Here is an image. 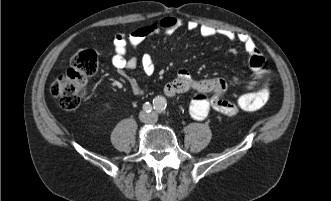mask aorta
Returning a JSON list of instances; mask_svg holds the SVG:
<instances>
[{"mask_svg": "<svg viewBox=\"0 0 331 201\" xmlns=\"http://www.w3.org/2000/svg\"><path fill=\"white\" fill-rule=\"evenodd\" d=\"M165 100L161 97H157L155 100H154V107L157 109V110H161V109H164L165 107Z\"/></svg>", "mask_w": 331, "mask_h": 201, "instance_id": "762f6f07", "label": "aorta"}]
</instances>
